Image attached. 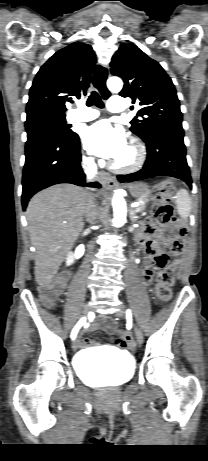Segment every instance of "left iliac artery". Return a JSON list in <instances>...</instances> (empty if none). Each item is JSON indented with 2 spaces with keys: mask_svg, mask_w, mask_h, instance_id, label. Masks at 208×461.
I'll return each instance as SVG.
<instances>
[{
  "mask_svg": "<svg viewBox=\"0 0 208 461\" xmlns=\"http://www.w3.org/2000/svg\"><path fill=\"white\" fill-rule=\"evenodd\" d=\"M127 313L129 314V313H130V311L128 310V311H127Z\"/></svg>",
  "mask_w": 208,
  "mask_h": 461,
  "instance_id": "left-iliac-artery-1",
  "label": "left iliac artery"
}]
</instances>
